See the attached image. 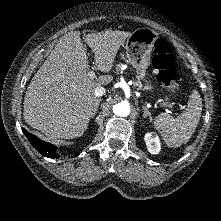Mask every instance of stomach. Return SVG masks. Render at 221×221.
<instances>
[{
    "label": "stomach",
    "instance_id": "stomach-1",
    "mask_svg": "<svg viewBox=\"0 0 221 221\" xmlns=\"http://www.w3.org/2000/svg\"><path fill=\"white\" fill-rule=\"evenodd\" d=\"M158 39V33L150 28L136 29L125 43L126 55L130 64L135 68L140 79L146 76V69L151 64V54L155 42ZM146 89L151 90V82L144 79Z\"/></svg>",
    "mask_w": 221,
    "mask_h": 221
}]
</instances>
